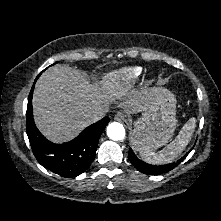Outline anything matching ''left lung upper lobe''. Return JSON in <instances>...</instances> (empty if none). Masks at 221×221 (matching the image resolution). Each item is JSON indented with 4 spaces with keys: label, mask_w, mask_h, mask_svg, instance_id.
I'll use <instances>...</instances> for the list:
<instances>
[{
    "label": "left lung upper lobe",
    "mask_w": 221,
    "mask_h": 221,
    "mask_svg": "<svg viewBox=\"0 0 221 221\" xmlns=\"http://www.w3.org/2000/svg\"><path fill=\"white\" fill-rule=\"evenodd\" d=\"M154 170H157V171H158V170H159V168H154Z\"/></svg>",
    "instance_id": "obj_1"
}]
</instances>
